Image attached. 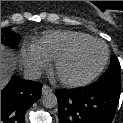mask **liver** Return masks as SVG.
<instances>
[{
  "mask_svg": "<svg viewBox=\"0 0 123 123\" xmlns=\"http://www.w3.org/2000/svg\"><path fill=\"white\" fill-rule=\"evenodd\" d=\"M15 54L1 45V89L7 84L16 68Z\"/></svg>",
  "mask_w": 123,
  "mask_h": 123,
  "instance_id": "obj_1",
  "label": "liver"
}]
</instances>
